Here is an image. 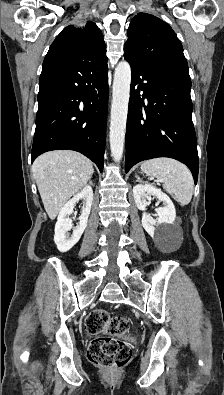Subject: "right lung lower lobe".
I'll return each instance as SVG.
<instances>
[{
    "mask_svg": "<svg viewBox=\"0 0 224 395\" xmlns=\"http://www.w3.org/2000/svg\"><path fill=\"white\" fill-rule=\"evenodd\" d=\"M108 93L107 59L87 62L47 54L39 80L32 162L44 152L69 149L87 156L102 172Z\"/></svg>",
    "mask_w": 224,
    "mask_h": 395,
    "instance_id": "98d812e1",
    "label": "right lung lower lobe"
}]
</instances>
